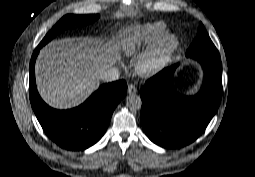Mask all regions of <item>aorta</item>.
I'll return each mask as SVG.
<instances>
[{
    "label": "aorta",
    "instance_id": "1",
    "mask_svg": "<svg viewBox=\"0 0 255 177\" xmlns=\"http://www.w3.org/2000/svg\"><path fill=\"white\" fill-rule=\"evenodd\" d=\"M126 106L132 111H136V110L141 109L142 100H141L140 96H138V95H129V96H127Z\"/></svg>",
    "mask_w": 255,
    "mask_h": 177
}]
</instances>
